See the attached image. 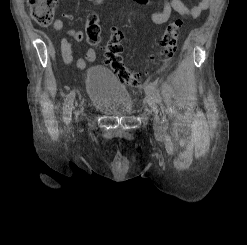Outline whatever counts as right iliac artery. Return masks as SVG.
Returning a JSON list of instances; mask_svg holds the SVG:
<instances>
[{
    "label": "right iliac artery",
    "mask_w": 247,
    "mask_h": 245,
    "mask_svg": "<svg viewBox=\"0 0 247 245\" xmlns=\"http://www.w3.org/2000/svg\"><path fill=\"white\" fill-rule=\"evenodd\" d=\"M75 98V91H71L65 100V105H64V121L66 123H69L71 120V113H72V106H73V101Z\"/></svg>",
    "instance_id": "obj_1"
}]
</instances>
